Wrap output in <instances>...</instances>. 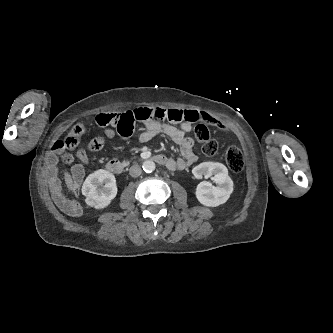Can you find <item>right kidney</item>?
Listing matches in <instances>:
<instances>
[{"mask_svg": "<svg viewBox=\"0 0 333 333\" xmlns=\"http://www.w3.org/2000/svg\"><path fill=\"white\" fill-rule=\"evenodd\" d=\"M86 203L96 209L107 207L117 195L115 176L104 169L90 174L82 186Z\"/></svg>", "mask_w": 333, "mask_h": 333, "instance_id": "obj_1", "label": "right kidney"}]
</instances>
